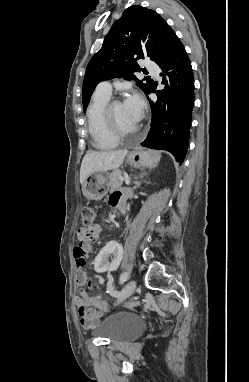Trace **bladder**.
<instances>
[{"label":"bladder","instance_id":"bladder-1","mask_svg":"<svg viewBox=\"0 0 249 382\" xmlns=\"http://www.w3.org/2000/svg\"><path fill=\"white\" fill-rule=\"evenodd\" d=\"M144 329V321L136 314H118L104 318L94 329V334L111 341L129 340Z\"/></svg>","mask_w":249,"mask_h":382}]
</instances>
